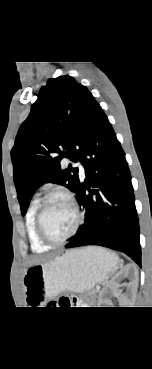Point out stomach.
Here are the masks:
<instances>
[{"instance_id": "0dacf381", "label": "stomach", "mask_w": 152, "mask_h": 369, "mask_svg": "<svg viewBox=\"0 0 152 369\" xmlns=\"http://www.w3.org/2000/svg\"><path fill=\"white\" fill-rule=\"evenodd\" d=\"M117 268V256L105 250L89 247L67 251L26 270L22 282L25 300L36 305L62 292H87Z\"/></svg>"}]
</instances>
